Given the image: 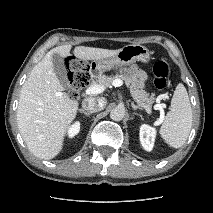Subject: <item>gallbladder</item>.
<instances>
[{"label": "gallbladder", "mask_w": 213, "mask_h": 213, "mask_svg": "<svg viewBox=\"0 0 213 213\" xmlns=\"http://www.w3.org/2000/svg\"><path fill=\"white\" fill-rule=\"evenodd\" d=\"M52 63H53L54 72L58 80L63 86H67L68 84L67 71L65 68L63 57L57 53H54L52 55Z\"/></svg>", "instance_id": "obj_1"}]
</instances>
